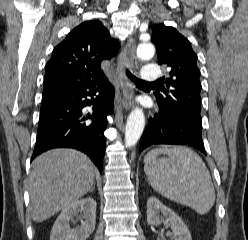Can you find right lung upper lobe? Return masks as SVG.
<instances>
[{
    "mask_svg": "<svg viewBox=\"0 0 248 240\" xmlns=\"http://www.w3.org/2000/svg\"><path fill=\"white\" fill-rule=\"evenodd\" d=\"M118 52L116 40L100 21H85L55 47L46 64L42 96L106 79L101 62Z\"/></svg>",
    "mask_w": 248,
    "mask_h": 240,
    "instance_id": "1",
    "label": "right lung upper lobe"
}]
</instances>
